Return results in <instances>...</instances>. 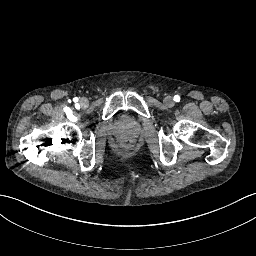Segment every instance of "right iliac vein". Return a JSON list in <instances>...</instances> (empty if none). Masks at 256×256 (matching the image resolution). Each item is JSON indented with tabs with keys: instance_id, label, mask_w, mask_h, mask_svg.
Instances as JSON below:
<instances>
[{
	"instance_id": "right-iliac-vein-1",
	"label": "right iliac vein",
	"mask_w": 256,
	"mask_h": 256,
	"mask_svg": "<svg viewBox=\"0 0 256 256\" xmlns=\"http://www.w3.org/2000/svg\"><path fill=\"white\" fill-rule=\"evenodd\" d=\"M79 103L83 108H85L88 105V100L86 98H81Z\"/></svg>"
}]
</instances>
